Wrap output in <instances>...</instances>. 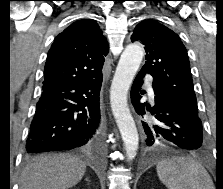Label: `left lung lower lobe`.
<instances>
[{
    "instance_id": "0a47b994",
    "label": "left lung lower lobe",
    "mask_w": 223,
    "mask_h": 189,
    "mask_svg": "<svg viewBox=\"0 0 223 189\" xmlns=\"http://www.w3.org/2000/svg\"><path fill=\"white\" fill-rule=\"evenodd\" d=\"M147 72L141 70L131 89V100L139 115L150 111L154 117V123L142 121L145 135V145L156 147L159 144H171L187 150L197 151L203 147L202 123L198 115L184 110L171 103L162 92L160 85L153 81L155 105L150 107L140 103L141 95L145 91L140 90L143 77Z\"/></svg>"
}]
</instances>
